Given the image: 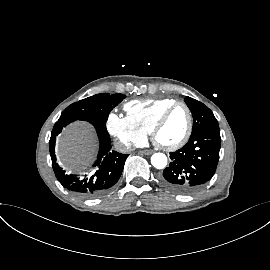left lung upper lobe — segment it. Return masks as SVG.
I'll return each mask as SVG.
<instances>
[{"instance_id":"5c2ea615","label":"left lung upper lobe","mask_w":270,"mask_h":270,"mask_svg":"<svg viewBox=\"0 0 270 270\" xmlns=\"http://www.w3.org/2000/svg\"><path fill=\"white\" fill-rule=\"evenodd\" d=\"M185 102L193 116V127L191 136L206 129H219L218 122L212 111L203 103L186 97Z\"/></svg>"}]
</instances>
